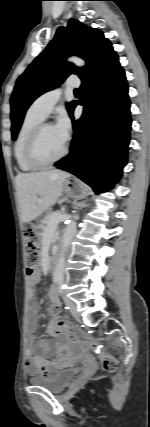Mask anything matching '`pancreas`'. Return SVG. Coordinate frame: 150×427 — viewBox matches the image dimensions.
Returning a JSON list of instances; mask_svg holds the SVG:
<instances>
[{"mask_svg": "<svg viewBox=\"0 0 150 427\" xmlns=\"http://www.w3.org/2000/svg\"><path fill=\"white\" fill-rule=\"evenodd\" d=\"M61 216H63V213L62 212H60V211H57ZM57 212H51V213H49L45 218H44V220L42 221V224L39 226V228H40V230L42 231V232H40L39 234L41 235V236H43V231L46 229V226H45V224L47 225V224H49L50 223V221L53 219V216H54V214L55 213H57ZM62 219H60L58 222H56V223H54V225H53V229H56L57 228V225L59 224V222L61 221Z\"/></svg>", "mask_w": 150, "mask_h": 427, "instance_id": "cf45deb5", "label": "pancreas"}]
</instances>
